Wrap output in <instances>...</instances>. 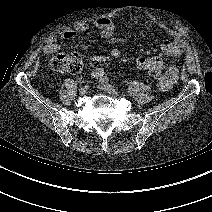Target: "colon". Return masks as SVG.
Instances as JSON below:
<instances>
[{"mask_svg": "<svg viewBox=\"0 0 212 212\" xmlns=\"http://www.w3.org/2000/svg\"><path fill=\"white\" fill-rule=\"evenodd\" d=\"M48 66L56 72L78 74L83 69V59L77 52L60 53L48 60ZM148 73L151 78L159 82L164 80L162 68L151 67Z\"/></svg>", "mask_w": 212, "mask_h": 212, "instance_id": "1", "label": "colon"}]
</instances>
